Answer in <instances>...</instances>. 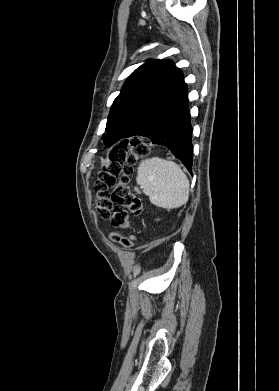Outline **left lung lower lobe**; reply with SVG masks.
Returning <instances> with one entry per match:
<instances>
[{
    "mask_svg": "<svg viewBox=\"0 0 279 391\" xmlns=\"http://www.w3.org/2000/svg\"><path fill=\"white\" fill-rule=\"evenodd\" d=\"M188 102L186 92L135 135L148 137L154 144L166 146L191 171L193 145Z\"/></svg>",
    "mask_w": 279,
    "mask_h": 391,
    "instance_id": "left-lung-lower-lobe-1",
    "label": "left lung lower lobe"
}]
</instances>
